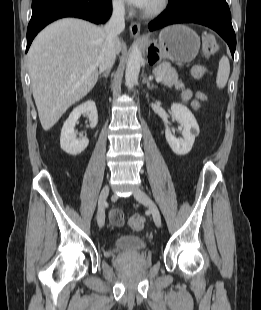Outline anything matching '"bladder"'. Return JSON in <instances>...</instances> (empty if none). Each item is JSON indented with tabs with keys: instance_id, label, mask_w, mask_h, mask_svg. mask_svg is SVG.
<instances>
[{
	"instance_id": "31cf9c89",
	"label": "bladder",
	"mask_w": 261,
	"mask_h": 310,
	"mask_svg": "<svg viewBox=\"0 0 261 310\" xmlns=\"http://www.w3.org/2000/svg\"><path fill=\"white\" fill-rule=\"evenodd\" d=\"M114 249L120 253L135 254L148 249L144 238L138 235H124L114 242Z\"/></svg>"
}]
</instances>
